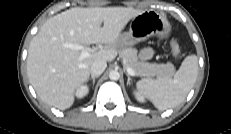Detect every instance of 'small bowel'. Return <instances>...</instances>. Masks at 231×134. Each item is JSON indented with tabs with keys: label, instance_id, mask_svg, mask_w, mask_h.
I'll return each instance as SVG.
<instances>
[{
	"label": "small bowel",
	"instance_id": "1",
	"mask_svg": "<svg viewBox=\"0 0 231 134\" xmlns=\"http://www.w3.org/2000/svg\"><path fill=\"white\" fill-rule=\"evenodd\" d=\"M153 55L154 51L151 48H144L140 51V58L143 60H149Z\"/></svg>",
	"mask_w": 231,
	"mask_h": 134
}]
</instances>
